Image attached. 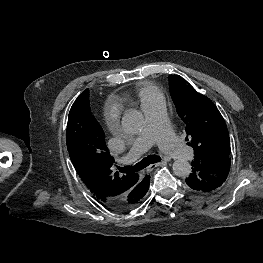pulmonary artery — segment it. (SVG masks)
Segmentation results:
<instances>
[{
  "instance_id": "pulmonary-artery-1",
  "label": "pulmonary artery",
  "mask_w": 263,
  "mask_h": 263,
  "mask_svg": "<svg viewBox=\"0 0 263 263\" xmlns=\"http://www.w3.org/2000/svg\"><path fill=\"white\" fill-rule=\"evenodd\" d=\"M146 123L141 133L135 139L125 160L132 162L157 143L169 156L188 160L192 157V149L185 146L171 130L162 98L142 107Z\"/></svg>"
}]
</instances>
